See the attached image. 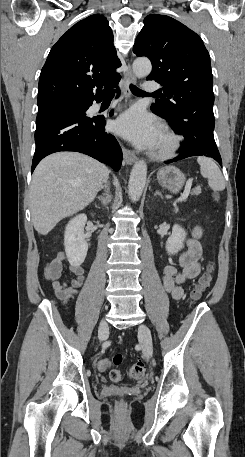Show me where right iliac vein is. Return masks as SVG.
Wrapping results in <instances>:
<instances>
[{
  "label": "right iliac vein",
  "instance_id": "1",
  "mask_svg": "<svg viewBox=\"0 0 245 457\" xmlns=\"http://www.w3.org/2000/svg\"><path fill=\"white\" fill-rule=\"evenodd\" d=\"M98 334L101 341L105 340L106 336L109 334V327L104 319L100 322Z\"/></svg>",
  "mask_w": 245,
  "mask_h": 457
}]
</instances>
